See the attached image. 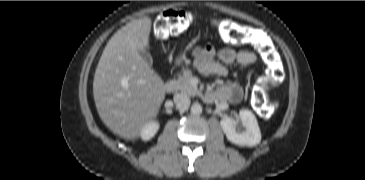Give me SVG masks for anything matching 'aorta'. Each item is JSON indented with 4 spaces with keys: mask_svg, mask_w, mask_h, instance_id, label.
I'll return each mask as SVG.
<instances>
[{
    "mask_svg": "<svg viewBox=\"0 0 365 180\" xmlns=\"http://www.w3.org/2000/svg\"><path fill=\"white\" fill-rule=\"evenodd\" d=\"M191 113L194 115H200L202 113V106L199 103H194L191 106Z\"/></svg>",
    "mask_w": 365,
    "mask_h": 180,
    "instance_id": "aorta-1",
    "label": "aorta"
}]
</instances>
